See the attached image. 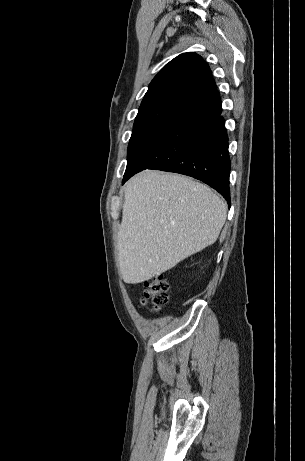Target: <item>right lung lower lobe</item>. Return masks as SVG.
<instances>
[{"mask_svg": "<svg viewBox=\"0 0 305 461\" xmlns=\"http://www.w3.org/2000/svg\"><path fill=\"white\" fill-rule=\"evenodd\" d=\"M219 92L188 108L167 135L133 167L123 183L145 169L194 177L217 190L230 203L228 136Z\"/></svg>", "mask_w": 305, "mask_h": 461, "instance_id": "1", "label": "right lung lower lobe"}]
</instances>
